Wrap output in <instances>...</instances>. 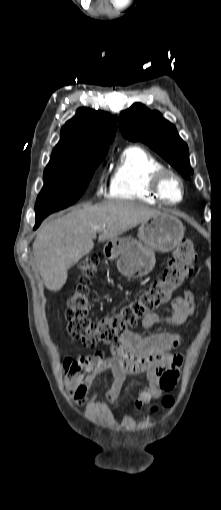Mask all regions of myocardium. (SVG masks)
<instances>
[{"mask_svg":"<svg viewBox=\"0 0 221 510\" xmlns=\"http://www.w3.org/2000/svg\"><path fill=\"white\" fill-rule=\"evenodd\" d=\"M168 178L174 179L180 186L181 198L178 201L168 200L163 193V184ZM149 188L153 196L159 202L167 206H175L180 204L185 199L186 195V188L183 179L176 172L168 168H162L152 174Z\"/></svg>","mask_w":221,"mask_h":510,"instance_id":"myocardium-1","label":"myocardium"}]
</instances>
